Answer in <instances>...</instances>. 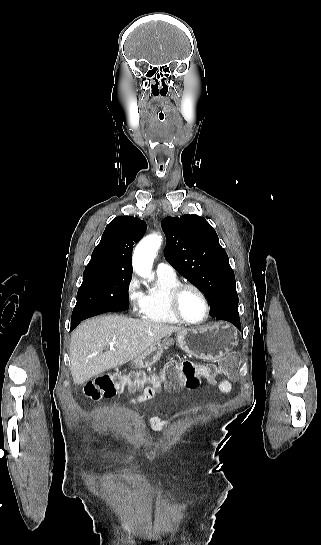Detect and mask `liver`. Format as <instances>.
I'll list each match as a JSON object with an SVG mask.
<instances>
[{
  "label": "liver",
  "mask_w": 321,
  "mask_h": 545,
  "mask_svg": "<svg viewBox=\"0 0 321 545\" xmlns=\"http://www.w3.org/2000/svg\"><path fill=\"white\" fill-rule=\"evenodd\" d=\"M182 331L181 327L130 319L123 315L95 317L81 323L71 337V375L75 385L124 365L142 355L163 337ZM114 343L113 351L101 353Z\"/></svg>",
  "instance_id": "liver-1"
}]
</instances>
